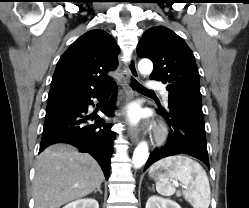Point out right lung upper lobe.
I'll use <instances>...</instances> for the list:
<instances>
[{
    "label": "right lung upper lobe",
    "mask_w": 249,
    "mask_h": 208,
    "mask_svg": "<svg viewBox=\"0 0 249 208\" xmlns=\"http://www.w3.org/2000/svg\"><path fill=\"white\" fill-rule=\"evenodd\" d=\"M119 49L110 34L91 30L61 56L53 74L47 103L86 97L112 83L107 76L118 66Z\"/></svg>",
    "instance_id": "1"
}]
</instances>
